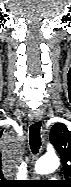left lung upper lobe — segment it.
<instances>
[{
  "instance_id": "obj_1",
  "label": "left lung upper lobe",
  "mask_w": 71,
  "mask_h": 187,
  "mask_svg": "<svg viewBox=\"0 0 71 187\" xmlns=\"http://www.w3.org/2000/svg\"><path fill=\"white\" fill-rule=\"evenodd\" d=\"M50 141L59 153L65 177L67 180L62 183L70 184L71 178V131L68 130L66 125L62 123H56L52 126L50 132Z\"/></svg>"
}]
</instances>
